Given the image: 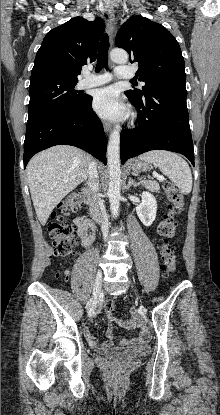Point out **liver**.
Listing matches in <instances>:
<instances>
[{
	"mask_svg": "<svg viewBox=\"0 0 220 415\" xmlns=\"http://www.w3.org/2000/svg\"><path fill=\"white\" fill-rule=\"evenodd\" d=\"M91 157L82 150L58 145L34 156L27 177L37 217L45 225L56 205L88 178Z\"/></svg>",
	"mask_w": 220,
	"mask_h": 415,
	"instance_id": "6515ba94",
	"label": "liver"
}]
</instances>
